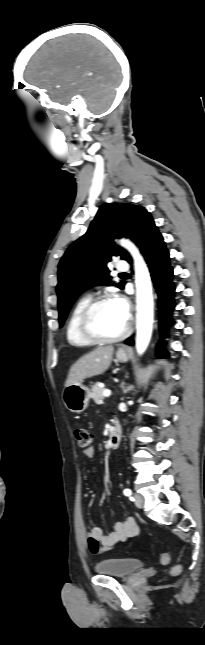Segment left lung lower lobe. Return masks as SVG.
<instances>
[{
	"instance_id": "left-lung-lower-lobe-1",
	"label": "left lung lower lobe",
	"mask_w": 205,
	"mask_h": 645,
	"mask_svg": "<svg viewBox=\"0 0 205 645\" xmlns=\"http://www.w3.org/2000/svg\"><path fill=\"white\" fill-rule=\"evenodd\" d=\"M139 247L148 264L152 281L157 289L160 312L159 322L161 331L164 332L166 327L172 323L171 312L175 306V286L172 282L173 268L169 262V251L155 224L146 232ZM126 344L133 345V340L128 339ZM157 352L160 357H168L160 347L157 348Z\"/></svg>"
}]
</instances>
